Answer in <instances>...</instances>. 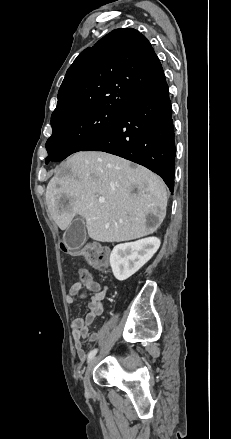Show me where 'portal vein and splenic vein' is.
<instances>
[{"label": "portal vein and splenic vein", "mask_w": 231, "mask_h": 439, "mask_svg": "<svg viewBox=\"0 0 231 439\" xmlns=\"http://www.w3.org/2000/svg\"><path fill=\"white\" fill-rule=\"evenodd\" d=\"M99 201H100V203H103V202H104V200H103V199H100Z\"/></svg>", "instance_id": "obj_1"}]
</instances>
